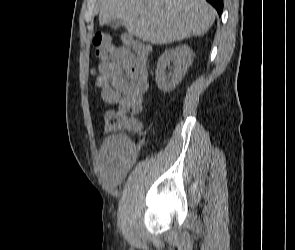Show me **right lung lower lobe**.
Here are the masks:
<instances>
[{"mask_svg": "<svg viewBox=\"0 0 295 250\" xmlns=\"http://www.w3.org/2000/svg\"><path fill=\"white\" fill-rule=\"evenodd\" d=\"M218 12L219 15H221L223 10V0H207Z\"/></svg>", "mask_w": 295, "mask_h": 250, "instance_id": "obj_1", "label": "right lung lower lobe"}]
</instances>
